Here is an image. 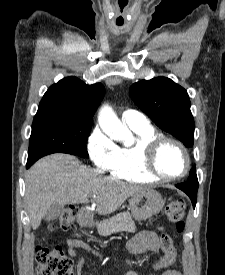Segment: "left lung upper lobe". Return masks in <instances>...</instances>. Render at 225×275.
Returning <instances> with one entry per match:
<instances>
[{
  "instance_id": "left-lung-upper-lobe-1",
  "label": "left lung upper lobe",
  "mask_w": 225,
  "mask_h": 275,
  "mask_svg": "<svg viewBox=\"0 0 225 275\" xmlns=\"http://www.w3.org/2000/svg\"><path fill=\"white\" fill-rule=\"evenodd\" d=\"M130 95L159 128L178 138L186 147L193 146L194 119L184 88L167 77H156L134 83ZM188 182L198 184L195 166Z\"/></svg>"
}]
</instances>
